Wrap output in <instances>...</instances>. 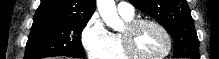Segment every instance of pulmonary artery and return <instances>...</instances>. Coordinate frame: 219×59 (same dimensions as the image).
Masks as SVG:
<instances>
[{
    "mask_svg": "<svg viewBox=\"0 0 219 59\" xmlns=\"http://www.w3.org/2000/svg\"><path fill=\"white\" fill-rule=\"evenodd\" d=\"M117 11L119 12L120 15L131 17L134 16L135 9L130 3L120 2L117 5Z\"/></svg>",
    "mask_w": 219,
    "mask_h": 59,
    "instance_id": "1",
    "label": "pulmonary artery"
}]
</instances>
